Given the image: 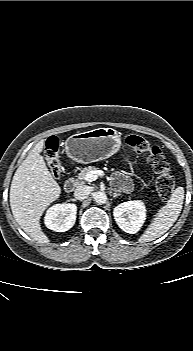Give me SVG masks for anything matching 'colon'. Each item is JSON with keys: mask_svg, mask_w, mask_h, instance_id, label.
I'll use <instances>...</instances> for the list:
<instances>
[{"mask_svg": "<svg viewBox=\"0 0 193 351\" xmlns=\"http://www.w3.org/2000/svg\"><path fill=\"white\" fill-rule=\"evenodd\" d=\"M126 144L137 154L145 155L148 163L156 173V190L162 200H168L175 187V179L171 173L169 163L160 148L147 139L131 134L126 137ZM44 159L54 178L61 175V162L59 159V141L56 137H50L46 141Z\"/></svg>", "mask_w": 193, "mask_h": 351, "instance_id": "obj_1", "label": "colon"}]
</instances>
